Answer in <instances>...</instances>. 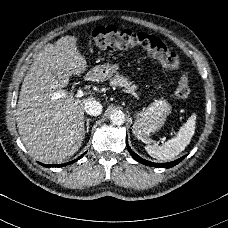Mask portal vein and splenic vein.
Wrapping results in <instances>:
<instances>
[{
	"label": "portal vein and splenic vein",
	"mask_w": 228,
	"mask_h": 228,
	"mask_svg": "<svg viewBox=\"0 0 228 228\" xmlns=\"http://www.w3.org/2000/svg\"><path fill=\"white\" fill-rule=\"evenodd\" d=\"M77 95L78 96H83L84 95V90L83 89H78L77 90ZM163 142V141H162Z\"/></svg>",
	"instance_id": "obj_1"
}]
</instances>
